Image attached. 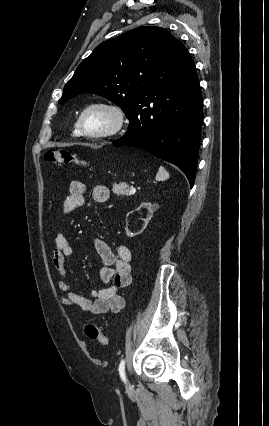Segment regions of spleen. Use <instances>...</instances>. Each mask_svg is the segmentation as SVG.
<instances>
[{
	"instance_id": "spleen-1",
	"label": "spleen",
	"mask_w": 269,
	"mask_h": 426,
	"mask_svg": "<svg viewBox=\"0 0 269 426\" xmlns=\"http://www.w3.org/2000/svg\"><path fill=\"white\" fill-rule=\"evenodd\" d=\"M169 178V173L164 169V167L160 166L158 173L156 174L157 181H164Z\"/></svg>"
}]
</instances>
